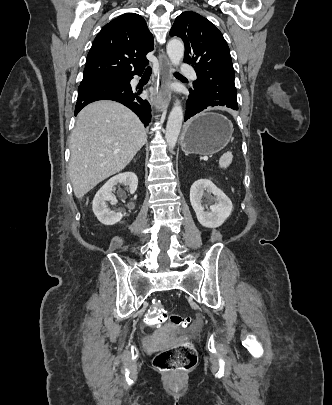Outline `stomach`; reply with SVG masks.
<instances>
[{
  "mask_svg": "<svg viewBox=\"0 0 332 405\" xmlns=\"http://www.w3.org/2000/svg\"><path fill=\"white\" fill-rule=\"evenodd\" d=\"M232 132V125L226 117L207 110L186 124L181 147L186 154L209 156L229 143Z\"/></svg>",
  "mask_w": 332,
  "mask_h": 405,
  "instance_id": "1",
  "label": "stomach"
}]
</instances>
